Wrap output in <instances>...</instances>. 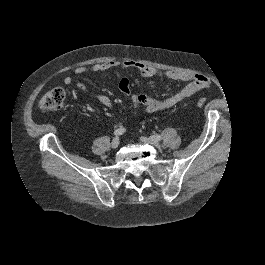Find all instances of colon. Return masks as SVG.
<instances>
[{
	"mask_svg": "<svg viewBox=\"0 0 265 265\" xmlns=\"http://www.w3.org/2000/svg\"><path fill=\"white\" fill-rule=\"evenodd\" d=\"M66 94L62 88H54L46 92L39 100L38 105L43 110L57 111L64 107ZM205 99L197 101V107L201 108Z\"/></svg>",
	"mask_w": 265,
	"mask_h": 265,
	"instance_id": "5ec220e1",
	"label": "colon"
}]
</instances>
